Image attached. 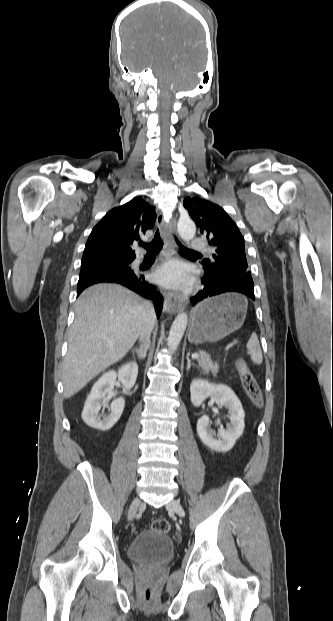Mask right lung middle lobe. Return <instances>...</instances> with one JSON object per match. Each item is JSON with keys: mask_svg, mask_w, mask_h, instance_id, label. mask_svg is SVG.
<instances>
[{"mask_svg": "<svg viewBox=\"0 0 333 621\" xmlns=\"http://www.w3.org/2000/svg\"><path fill=\"white\" fill-rule=\"evenodd\" d=\"M133 258H95V259H82L81 268L87 266H95L102 264H109L115 266H130Z\"/></svg>", "mask_w": 333, "mask_h": 621, "instance_id": "dd1d6c3e", "label": "right lung middle lobe"}]
</instances>
